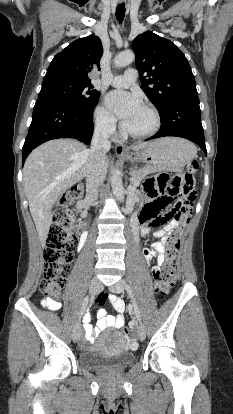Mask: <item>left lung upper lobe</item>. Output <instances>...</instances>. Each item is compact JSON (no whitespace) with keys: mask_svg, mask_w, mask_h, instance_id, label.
<instances>
[{"mask_svg":"<svg viewBox=\"0 0 233 414\" xmlns=\"http://www.w3.org/2000/svg\"><path fill=\"white\" fill-rule=\"evenodd\" d=\"M132 46L141 88L160 115L175 99L197 95L190 65L175 44L148 31L138 35Z\"/></svg>","mask_w":233,"mask_h":414,"instance_id":"1","label":"left lung upper lobe"}]
</instances>
